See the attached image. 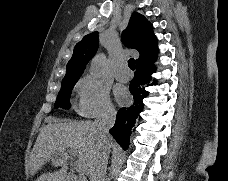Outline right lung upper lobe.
<instances>
[{
    "instance_id": "right-lung-upper-lobe-1",
    "label": "right lung upper lobe",
    "mask_w": 228,
    "mask_h": 181,
    "mask_svg": "<svg viewBox=\"0 0 228 181\" xmlns=\"http://www.w3.org/2000/svg\"><path fill=\"white\" fill-rule=\"evenodd\" d=\"M122 41L126 47L136 49L139 52L140 57L136 60V64L148 58L158 49L151 23L138 12L132 14L127 28L122 33ZM98 44V32L84 36L76 44L62 82L78 81L86 64L96 53Z\"/></svg>"
}]
</instances>
